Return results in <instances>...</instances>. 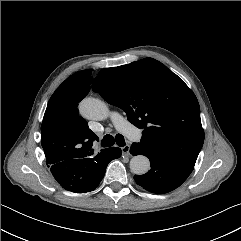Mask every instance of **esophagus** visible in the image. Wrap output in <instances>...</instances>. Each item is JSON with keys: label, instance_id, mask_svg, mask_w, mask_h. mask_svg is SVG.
<instances>
[{"label": "esophagus", "instance_id": "esophagus-1", "mask_svg": "<svg viewBox=\"0 0 241 241\" xmlns=\"http://www.w3.org/2000/svg\"><path fill=\"white\" fill-rule=\"evenodd\" d=\"M122 150V154L125 156H129L130 155V146L129 145H125L121 148Z\"/></svg>", "mask_w": 241, "mask_h": 241}]
</instances>
